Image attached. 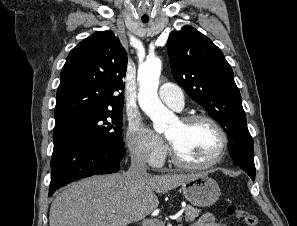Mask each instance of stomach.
I'll return each instance as SVG.
<instances>
[{"label": "stomach", "instance_id": "obj_1", "mask_svg": "<svg viewBox=\"0 0 297 226\" xmlns=\"http://www.w3.org/2000/svg\"><path fill=\"white\" fill-rule=\"evenodd\" d=\"M184 197L193 205L206 207L214 204L221 192L218 183L207 174H197L182 184Z\"/></svg>", "mask_w": 297, "mask_h": 226}]
</instances>
